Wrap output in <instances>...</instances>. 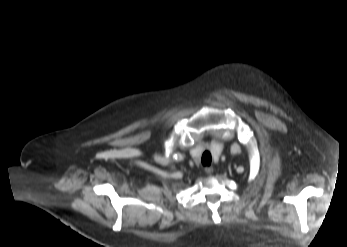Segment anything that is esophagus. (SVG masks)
Returning <instances> with one entry per match:
<instances>
[{
    "label": "esophagus",
    "mask_w": 347,
    "mask_h": 247,
    "mask_svg": "<svg viewBox=\"0 0 347 247\" xmlns=\"http://www.w3.org/2000/svg\"><path fill=\"white\" fill-rule=\"evenodd\" d=\"M205 172L207 173V174H212L213 173V171H214V168L212 167V166H207V167H205Z\"/></svg>",
    "instance_id": "esophagus-1"
}]
</instances>
